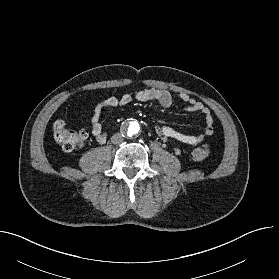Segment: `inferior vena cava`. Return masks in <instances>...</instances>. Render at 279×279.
<instances>
[{"label":"inferior vena cava","mask_w":279,"mask_h":279,"mask_svg":"<svg viewBox=\"0 0 279 279\" xmlns=\"http://www.w3.org/2000/svg\"><path fill=\"white\" fill-rule=\"evenodd\" d=\"M123 141H124L123 135L120 134V133L114 134V135L111 137V142H112L113 144H121V143H123Z\"/></svg>","instance_id":"inferior-vena-cava-1"}]
</instances>
